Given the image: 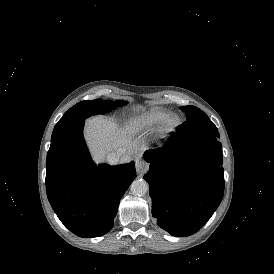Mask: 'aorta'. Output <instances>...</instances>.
I'll return each mask as SVG.
<instances>
[{
	"mask_svg": "<svg viewBox=\"0 0 274 274\" xmlns=\"http://www.w3.org/2000/svg\"><path fill=\"white\" fill-rule=\"evenodd\" d=\"M149 189L148 183L144 179H136L130 186L131 193L134 196H143Z\"/></svg>",
	"mask_w": 274,
	"mask_h": 274,
	"instance_id": "aorta-1",
	"label": "aorta"
}]
</instances>
